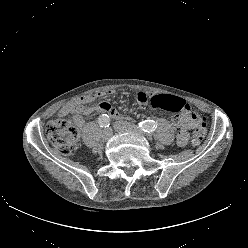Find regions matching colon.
Wrapping results in <instances>:
<instances>
[{"instance_id": "1", "label": "colon", "mask_w": 248, "mask_h": 248, "mask_svg": "<svg viewBox=\"0 0 248 248\" xmlns=\"http://www.w3.org/2000/svg\"><path fill=\"white\" fill-rule=\"evenodd\" d=\"M149 103L153 109H161L167 112H187L190 117L198 120V125L194 131L192 144L199 145L205 135V123L197 113L192 112L186 102L176 96L160 94L153 95L149 99ZM46 136L51 145L61 155H69L79 138L78 125L75 121L67 119H55L48 123L46 127Z\"/></svg>"}]
</instances>
